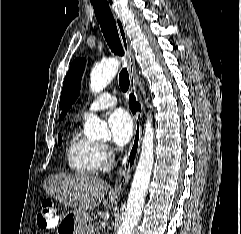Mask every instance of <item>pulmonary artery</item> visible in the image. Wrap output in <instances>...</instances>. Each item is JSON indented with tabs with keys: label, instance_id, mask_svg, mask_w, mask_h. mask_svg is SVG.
Masks as SVG:
<instances>
[{
	"label": "pulmonary artery",
	"instance_id": "1",
	"mask_svg": "<svg viewBox=\"0 0 241 234\" xmlns=\"http://www.w3.org/2000/svg\"><path fill=\"white\" fill-rule=\"evenodd\" d=\"M116 102L117 100L114 95L109 92H103L90 103L84 114L111 108L116 105Z\"/></svg>",
	"mask_w": 241,
	"mask_h": 234
}]
</instances>
